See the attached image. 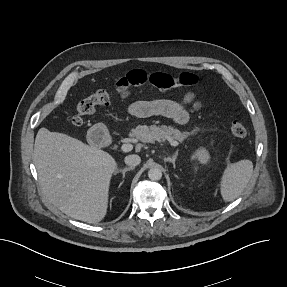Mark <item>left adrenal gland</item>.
<instances>
[{
    "instance_id": "obj_1",
    "label": "left adrenal gland",
    "mask_w": 287,
    "mask_h": 287,
    "mask_svg": "<svg viewBox=\"0 0 287 287\" xmlns=\"http://www.w3.org/2000/svg\"><path fill=\"white\" fill-rule=\"evenodd\" d=\"M177 156H178V151H176L172 157H165L164 161L165 162H171L175 167V161H176Z\"/></svg>"
}]
</instances>
